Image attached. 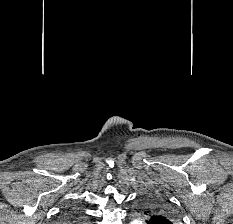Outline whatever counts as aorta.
Masks as SVG:
<instances>
[{"label": "aorta", "instance_id": "obj_1", "mask_svg": "<svg viewBox=\"0 0 233 224\" xmlns=\"http://www.w3.org/2000/svg\"><path fill=\"white\" fill-rule=\"evenodd\" d=\"M130 224H142V222L139 221V220H134V221H132V223H130Z\"/></svg>", "mask_w": 233, "mask_h": 224}]
</instances>
